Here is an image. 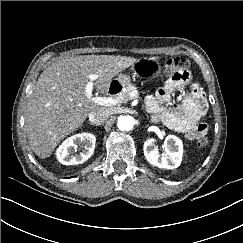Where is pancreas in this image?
<instances>
[{"label": "pancreas", "instance_id": "pancreas-1", "mask_svg": "<svg viewBox=\"0 0 243 243\" xmlns=\"http://www.w3.org/2000/svg\"><path fill=\"white\" fill-rule=\"evenodd\" d=\"M136 91V87L129 84L114 98L118 99L120 102H126L130 98V93Z\"/></svg>", "mask_w": 243, "mask_h": 243}]
</instances>
